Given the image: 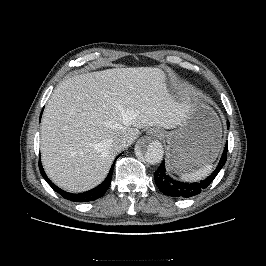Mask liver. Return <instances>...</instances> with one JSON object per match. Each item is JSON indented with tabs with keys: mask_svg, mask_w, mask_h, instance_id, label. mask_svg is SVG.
<instances>
[{
	"mask_svg": "<svg viewBox=\"0 0 266 266\" xmlns=\"http://www.w3.org/2000/svg\"><path fill=\"white\" fill-rule=\"evenodd\" d=\"M160 68L129 67L80 74L54 89L41 121V156L48 177L70 192H83L107 176L126 134L129 146L144 127L179 126L190 101L170 96Z\"/></svg>",
	"mask_w": 266,
	"mask_h": 266,
	"instance_id": "obj_1",
	"label": "liver"
}]
</instances>
